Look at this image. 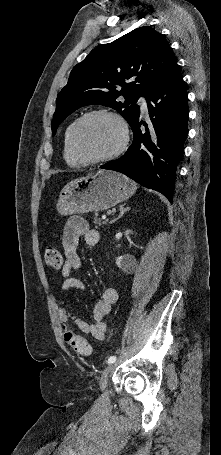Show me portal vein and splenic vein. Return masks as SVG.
<instances>
[{
    "label": "portal vein and splenic vein",
    "instance_id": "18ae733b",
    "mask_svg": "<svg viewBox=\"0 0 221 455\" xmlns=\"http://www.w3.org/2000/svg\"><path fill=\"white\" fill-rule=\"evenodd\" d=\"M102 219H103V220H105V221L107 222V220H106V216H102Z\"/></svg>",
    "mask_w": 221,
    "mask_h": 455
}]
</instances>
